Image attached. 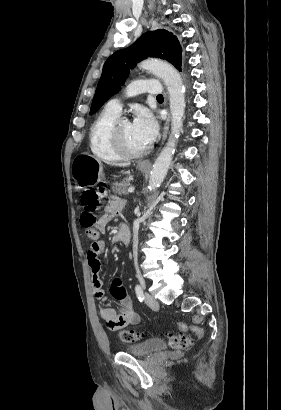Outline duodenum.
<instances>
[{"label":"duodenum","mask_w":281,"mask_h":410,"mask_svg":"<svg viewBox=\"0 0 281 410\" xmlns=\"http://www.w3.org/2000/svg\"><path fill=\"white\" fill-rule=\"evenodd\" d=\"M130 239H131L130 229L126 224H123L118 234L117 242L125 246L129 244Z\"/></svg>","instance_id":"obj_1"}]
</instances>
